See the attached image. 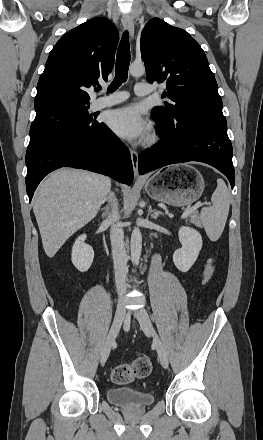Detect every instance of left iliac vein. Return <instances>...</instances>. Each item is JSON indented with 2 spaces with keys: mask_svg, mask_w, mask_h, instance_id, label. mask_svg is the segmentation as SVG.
<instances>
[{
  "mask_svg": "<svg viewBox=\"0 0 263 440\" xmlns=\"http://www.w3.org/2000/svg\"><path fill=\"white\" fill-rule=\"evenodd\" d=\"M134 316L139 322L140 327L144 331V333L153 337V341L157 349L159 360L164 368H168L169 365L168 354L155 332V329L151 323L148 313L144 309H139L136 312H134Z\"/></svg>",
  "mask_w": 263,
  "mask_h": 440,
  "instance_id": "1",
  "label": "left iliac vein"
}]
</instances>
